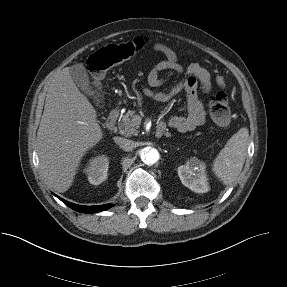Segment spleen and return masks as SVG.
<instances>
[{
  "mask_svg": "<svg viewBox=\"0 0 287 287\" xmlns=\"http://www.w3.org/2000/svg\"><path fill=\"white\" fill-rule=\"evenodd\" d=\"M249 143V130L242 127L226 143L212 164V171L225 185L235 181L242 171Z\"/></svg>",
  "mask_w": 287,
  "mask_h": 287,
  "instance_id": "spleen-1",
  "label": "spleen"
}]
</instances>
